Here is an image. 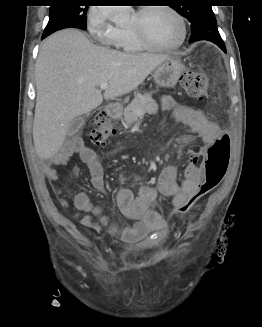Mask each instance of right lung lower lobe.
<instances>
[{"instance_id": "obj_1", "label": "right lung lower lobe", "mask_w": 262, "mask_h": 327, "mask_svg": "<svg viewBox=\"0 0 262 327\" xmlns=\"http://www.w3.org/2000/svg\"><path fill=\"white\" fill-rule=\"evenodd\" d=\"M46 36H47V35H43V36H42V39L45 38Z\"/></svg>"}]
</instances>
